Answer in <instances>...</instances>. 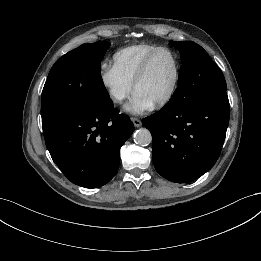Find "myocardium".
<instances>
[{
    "label": "myocardium",
    "instance_id": "myocardium-1",
    "mask_svg": "<svg viewBox=\"0 0 261 261\" xmlns=\"http://www.w3.org/2000/svg\"><path fill=\"white\" fill-rule=\"evenodd\" d=\"M160 52H167L169 53L174 61V77H173V81L172 84L168 90V92L157 102H155L153 104V106L155 108H162L165 105H167L173 98V96L175 95L177 88H178V84H179V79H180V62H179V58L178 55L175 53V51H173L171 48L169 47H158L157 49L153 50L143 61V63L140 66L139 71L137 72L134 80H133V89L135 90L136 87L138 86V84L145 78V76L148 73L150 64L152 62V60L154 59V57L160 53Z\"/></svg>",
    "mask_w": 261,
    "mask_h": 261
}]
</instances>
